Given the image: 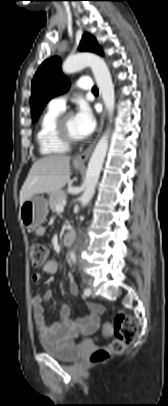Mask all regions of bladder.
Instances as JSON below:
<instances>
[{
	"label": "bladder",
	"mask_w": 168,
	"mask_h": 406,
	"mask_svg": "<svg viewBox=\"0 0 168 406\" xmlns=\"http://www.w3.org/2000/svg\"><path fill=\"white\" fill-rule=\"evenodd\" d=\"M41 346L50 356L67 363L76 361L82 354V349L77 345L50 344L49 342L42 340Z\"/></svg>",
	"instance_id": "bladder-1"
}]
</instances>
